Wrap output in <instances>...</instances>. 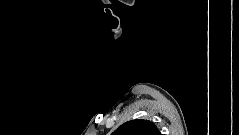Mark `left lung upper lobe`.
Listing matches in <instances>:
<instances>
[{
  "mask_svg": "<svg viewBox=\"0 0 239 135\" xmlns=\"http://www.w3.org/2000/svg\"><path fill=\"white\" fill-rule=\"evenodd\" d=\"M112 135H161V133L151 121L135 119L122 124Z\"/></svg>",
  "mask_w": 239,
  "mask_h": 135,
  "instance_id": "1",
  "label": "left lung upper lobe"
}]
</instances>
